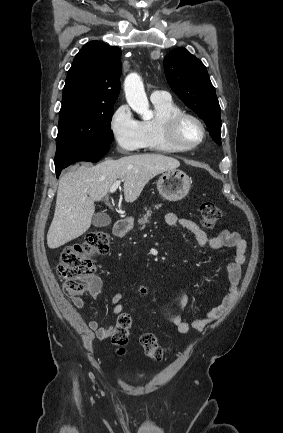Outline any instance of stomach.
Returning <instances> with one entry per match:
<instances>
[{
    "mask_svg": "<svg viewBox=\"0 0 283 433\" xmlns=\"http://www.w3.org/2000/svg\"><path fill=\"white\" fill-rule=\"evenodd\" d=\"M191 182L183 170H166L159 176L157 188L166 200H181L190 190ZM130 221V219H125ZM132 227V221H130Z\"/></svg>",
    "mask_w": 283,
    "mask_h": 433,
    "instance_id": "1",
    "label": "stomach"
}]
</instances>
